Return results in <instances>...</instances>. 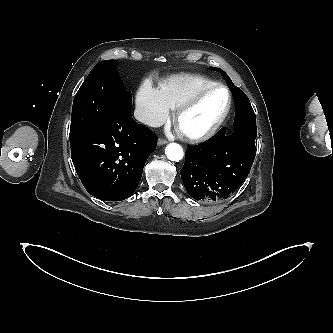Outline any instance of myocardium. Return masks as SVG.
I'll return each instance as SVG.
<instances>
[{"mask_svg": "<svg viewBox=\"0 0 333 333\" xmlns=\"http://www.w3.org/2000/svg\"><path fill=\"white\" fill-rule=\"evenodd\" d=\"M216 89H224L228 97L227 105L222 114L220 115V117L209 128H207L204 131L197 133H188L181 131L179 128V124L182 117L190 110H192L203 99L204 96H206L208 93ZM232 105H233V97L230 89L224 84L214 83L212 85L200 89L176 110V113L174 115V124L176 128L180 131L182 136L188 141L202 142L210 139L219 131V129L222 127V125L225 123L226 119L228 118L232 109Z\"/></svg>", "mask_w": 333, "mask_h": 333, "instance_id": "1", "label": "myocardium"}]
</instances>
